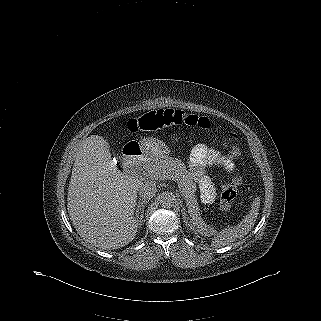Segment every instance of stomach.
Here are the masks:
<instances>
[{
    "instance_id": "obj_1",
    "label": "stomach",
    "mask_w": 321,
    "mask_h": 321,
    "mask_svg": "<svg viewBox=\"0 0 321 321\" xmlns=\"http://www.w3.org/2000/svg\"><path fill=\"white\" fill-rule=\"evenodd\" d=\"M137 144L141 151L149 156H164L169 152L168 147L156 138H143Z\"/></svg>"
}]
</instances>
